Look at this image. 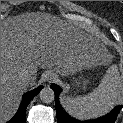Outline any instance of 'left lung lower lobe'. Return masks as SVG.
Wrapping results in <instances>:
<instances>
[{"mask_svg":"<svg viewBox=\"0 0 123 123\" xmlns=\"http://www.w3.org/2000/svg\"><path fill=\"white\" fill-rule=\"evenodd\" d=\"M51 88L53 89L55 93V104H56V112H57V122L58 123H114L116 121V118L118 114L120 113V110L122 109V105L115 107L113 111H111L109 114H107L104 117L95 119V120H89V121H79L76 119H73L70 117L62 108L60 102H59V94L61 92V88L56 85L52 84Z\"/></svg>","mask_w":123,"mask_h":123,"instance_id":"left-lung-lower-lobe-1","label":"left lung lower lobe"}]
</instances>
